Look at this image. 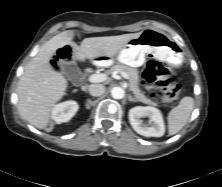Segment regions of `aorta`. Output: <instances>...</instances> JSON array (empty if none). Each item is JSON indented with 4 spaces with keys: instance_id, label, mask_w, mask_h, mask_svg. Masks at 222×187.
Masks as SVG:
<instances>
[{
    "instance_id": "762f6f07",
    "label": "aorta",
    "mask_w": 222,
    "mask_h": 187,
    "mask_svg": "<svg viewBox=\"0 0 222 187\" xmlns=\"http://www.w3.org/2000/svg\"><path fill=\"white\" fill-rule=\"evenodd\" d=\"M111 96L114 99H122L125 96V91L122 87H114L111 90Z\"/></svg>"
}]
</instances>
